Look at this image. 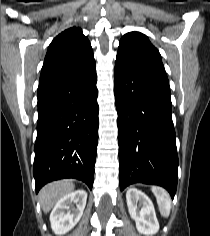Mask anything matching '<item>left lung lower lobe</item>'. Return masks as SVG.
Here are the masks:
<instances>
[{"instance_id":"left-lung-lower-lobe-1","label":"left lung lower lobe","mask_w":210,"mask_h":236,"mask_svg":"<svg viewBox=\"0 0 210 236\" xmlns=\"http://www.w3.org/2000/svg\"><path fill=\"white\" fill-rule=\"evenodd\" d=\"M120 188L132 183L160 185L173 198L178 155L167 77L115 65Z\"/></svg>"}]
</instances>
